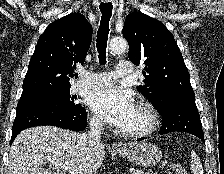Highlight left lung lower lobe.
<instances>
[{
    "mask_svg": "<svg viewBox=\"0 0 224 174\" xmlns=\"http://www.w3.org/2000/svg\"><path fill=\"white\" fill-rule=\"evenodd\" d=\"M194 100L195 95H164L161 105L156 108L163 118L159 133L187 132L204 142V133ZM143 139L145 138L139 140Z\"/></svg>",
    "mask_w": 224,
    "mask_h": 174,
    "instance_id": "left-lung-lower-lobe-1",
    "label": "left lung lower lobe"
}]
</instances>
